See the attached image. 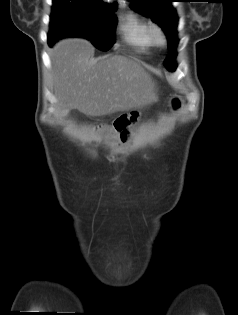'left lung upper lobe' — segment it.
Here are the masks:
<instances>
[{"label":"left lung upper lobe","mask_w":238,"mask_h":315,"mask_svg":"<svg viewBox=\"0 0 238 315\" xmlns=\"http://www.w3.org/2000/svg\"><path fill=\"white\" fill-rule=\"evenodd\" d=\"M131 1V7L144 14L147 17L156 22L160 27L163 28L165 34L167 35L168 41L173 37H176V27H177V15L175 10L172 8L170 2L173 0H129ZM170 53L167 56L164 64L165 66L173 71L176 68V63Z\"/></svg>","instance_id":"1"}]
</instances>
